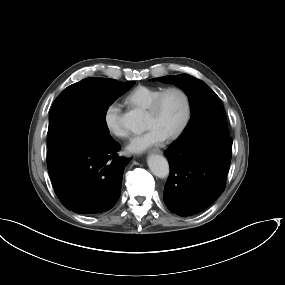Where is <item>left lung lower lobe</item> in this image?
Wrapping results in <instances>:
<instances>
[{
    "mask_svg": "<svg viewBox=\"0 0 285 285\" xmlns=\"http://www.w3.org/2000/svg\"><path fill=\"white\" fill-rule=\"evenodd\" d=\"M232 139L206 135L166 151L170 177L164 187V202L179 216L197 214L211 205L224 191L229 171Z\"/></svg>",
    "mask_w": 285,
    "mask_h": 285,
    "instance_id": "0a47b994",
    "label": "left lung lower lobe"
}]
</instances>
